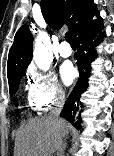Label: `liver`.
Listing matches in <instances>:
<instances>
[{"label":"liver","mask_w":114,"mask_h":156,"mask_svg":"<svg viewBox=\"0 0 114 156\" xmlns=\"http://www.w3.org/2000/svg\"><path fill=\"white\" fill-rule=\"evenodd\" d=\"M71 125L61 119L55 121L49 116L31 119L22 128L15 140L14 156H52L61 152L62 139Z\"/></svg>","instance_id":"6515ba94"}]
</instances>
